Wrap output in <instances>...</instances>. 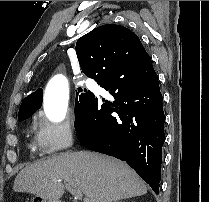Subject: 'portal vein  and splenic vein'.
<instances>
[{
	"label": "portal vein and splenic vein",
	"mask_w": 209,
	"mask_h": 202,
	"mask_svg": "<svg viewBox=\"0 0 209 202\" xmlns=\"http://www.w3.org/2000/svg\"><path fill=\"white\" fill-rule=\"evenodd\" d=\"M65 187L75 197V199L82 200V198H83L82 191L74 188L73 186H71L69 183H66V182H65Z\"/></svg>",
	"instance_id": "portal-vein-and-splenic-vein-1"
}]
</instances>
